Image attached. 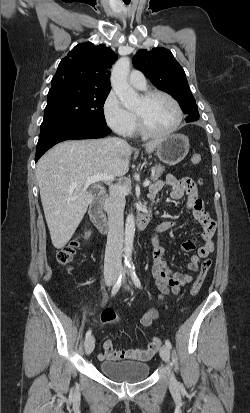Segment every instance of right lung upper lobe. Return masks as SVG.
<instances>
[{
	"instance_id": "1",
	"label": "right lung upper lobe",
	"mask_w": 250,
	"mask_h": 413,
	"mask_svg": "<svg viewBox=\"0 0 250 413\" xmlns=\"http://www.w3.org/2000/svg\"><path fill=\"white\" fill-rule=\"evenodd\" d=\"M117 58V54L104 44H78L59 63L51 89L77 85L85 89L110 91V68Z\"/></svg>"
}]
</instances>
